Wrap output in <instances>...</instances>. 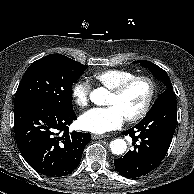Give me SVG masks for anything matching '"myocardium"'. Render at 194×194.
Wrapping results in <instances>:
<instances>
[{"label": "myocardium", "instance_id": "f54148a6", "mask_svg": "<svg viewBox=\"0 0 194 194\" xmlns=\"http://www.w3.org/2000/svg\"><path fill=\"white\" fill-rule=\"evenodd\" d=\"M137 81L145 82L148 85L149 92H148L146 102L143 105V107L141 108V110L138 113H136L135 115H132V116L125 118V120L127 122H130V123L140 121L148 114V112L152 106V103H153V100L155 97V93H156V85H155L154 80L151 77L146 76V75H136V76H133V77L121 82L116 87H114L110 90V93H112L113 95L120 96L127 90V88L130 85H132L133 83H135Z\"/></svg>", "mask_w": 194, "mask_h": 194}]
</instances>
